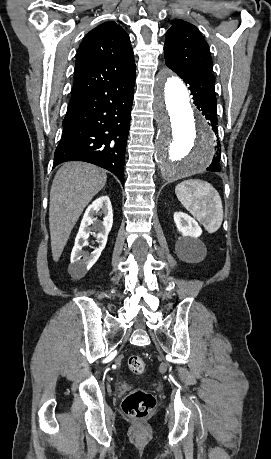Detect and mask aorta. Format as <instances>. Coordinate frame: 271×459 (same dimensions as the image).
I'll return each instance as SVG.
<instances>
[{
    "label": "aorta",
    "mask_w": 271,
    "mask_h": 459,
    "mask_svg": "<svg viewBox=\"0 0 271 459\" xmlns=\"http://www.w3.org/2000/svg\"><path fill=\"white\" fill-rule=\"evenodd\" d=\"M153 108L158 123L155 160L162 175L176 180L205 170L215 152L212 131L194 113L184 82L167 69L155 79Z\"/></svg>",
    "instance_id": "obj_1"
}]
</instances>
